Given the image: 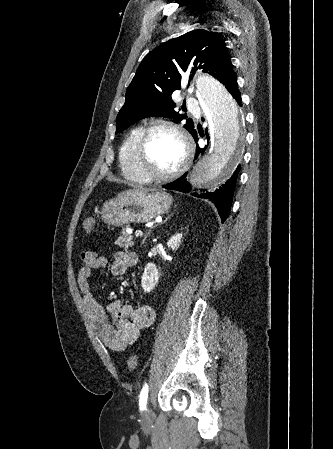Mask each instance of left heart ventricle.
I'll use <instances>...</instances> for the list:
<instances>
[{
  "instance_id": "left-heart-ventricle-1",
  "label": "left heart ventricle",
  "mask_w": 333,
  "mask_h": 449,
  "mask_svg": "<svg viewBox=\"0 0 333 449\" xmlns=\"http://www.w3.org/2000/svg\"><path fill=\"white\" fill-rule=\"evenodd\" d=\"M184 149L179 138L163 130L150 136L144 159V166L155 174H166L176 169L182 162Z\"/></svg>"
}]
</instances>
